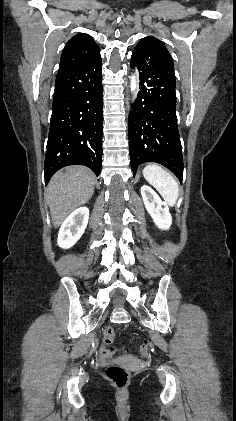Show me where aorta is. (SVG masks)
<instances>
[{"label":"aorta","mask_w":236,"mask_h":421,"mask_svg":"<svg viewBox=\"0 0 236 421\" xmlns=\"http://www.w3.org/2000/svg\"><path fill=\"white\" fill-rule=\"evenodd\" d=\"M138 72H133L132 76H131V80H130V90L134 96L136 90H137V86H138V76H137Z\"/></svg>","instance_id":"762f6f07"}]
</instances>
